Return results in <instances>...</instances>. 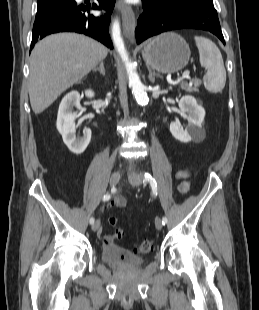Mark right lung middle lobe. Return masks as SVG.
Here are the masks:
<instances>
[{"label": "right lung middle lobe", "instance_id": "dd1d6c3e", "mask_svg": "<svg viewBox=\"0 0 259 310\" xmlns=\"http://www.w3.org/2000/svg\"><path fill=\"white\" fill-rule=\"evenodd\" d=\"M75 4L74 0H37V13H42L52 8L70 7Z\"/></svg>", "mask_w": 259, "mask_h": 310}]
</instances>
